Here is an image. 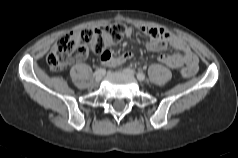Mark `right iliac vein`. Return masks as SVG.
Listing matches in <instances>:
<instances>
[{"instance_id":"obj_1","label":"right iliac vein","mask_w":238,"mask_h":158,"mask_svg":"<svg viewBox=\"0 0 238 158\" xmlns=\"http://www.w3.org/2000/svg\"><path fill=\"white\" fill-rule=\"evenodd\" d=\"M101 79H102V75H98V76H96L95 81L96 82H100Z\"/></svg>"}]
</instances>
